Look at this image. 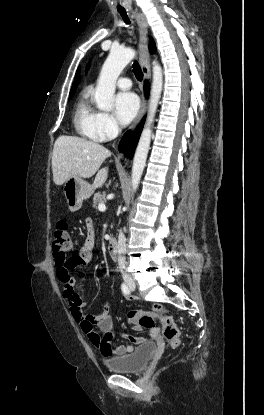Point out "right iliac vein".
<instances>
[{"label":"right iliac vein","instance_id":"63e3f726","mask_svg":"<svg viewBox=\"0 0 264 415\" xmlns=\"http://www.w3.org/2000/svg\"><path fill=\"white\" fill-rule=\"evenodd\" d=\"M132 284H133L132 282H128V285H129V286H132Z\"/></svg>","mask_w":264,"mask_h":415}]
</instances>
